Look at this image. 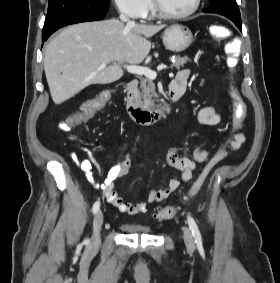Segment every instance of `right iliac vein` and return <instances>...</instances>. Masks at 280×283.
Returning a JSON list of instances; mask_svg holds the SVG:
<instances>
[{
  "label": "right iliac vein",
  "instance_id": "obj_1",
  "mask_svg": "<svg viewBox=\"0 0 280 283\" xmlns=\"http://www.w3.org/2000/svg\"><path fill=\"white\" fill-rule=\"evenodd\" d=\"M103 224V213L98 211L93 221V235L91 238V246L98 247L100 245V230Z\"/></svg>",
  "mask_w": 280,
  "mask_h": 283
}]
</instances>
